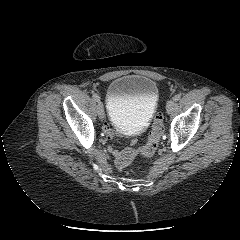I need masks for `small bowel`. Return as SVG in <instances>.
Returning <instances> with one entry per match:
<instances>
[{"instance_id": "small-bowel-1", "label": "small bowel", "mask_w": 240, "mask_h": 240, "mask_svg": "<svg viewBox=\"0 0 240 240\" xmlns=\"http://www.w3.org/2000/svg\"><path fill=\"white\" fill-rule=\"evenodd\" d=\"M101 125L104 126L103 130H104V133L107 135L108 139H111L112 141H115V142H119L120 144L125 143L124 139L117 137L118 134L115 130H113V129L110 130V128H109L111 125L110 122L106 121L105 119H102ZM128 144L131 147L137 146L139 144V139L136 136L131 135L128 138ZM109 151L116 157L120 154V151L113 147H110Z\"/></svg>"}]
</instances>
